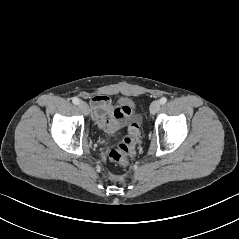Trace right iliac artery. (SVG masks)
<instances>
[{
    "label": "right iliac artery",
    "instance_id": "82829eb1",
    "mask_svg": "<svg viewBox=\"0 0 239 239\" xmlns=\"http://www.w3.org/2000/svg\"><path fill=\"white\" fill-rule=\"evenodd\" d=\"M72 102L77 105V104H79L80 100L78 98L74 97L72 99Z\"/></svg>",
    "mask_w": 239,
    "mask_h": 239
}]
</instances>
